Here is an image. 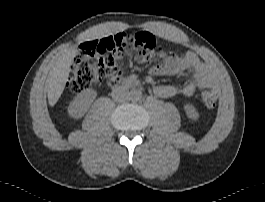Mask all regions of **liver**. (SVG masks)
Returning <instances> with one entry per match:
<instances>
[{"label":"liver","mask_w":265,"mask_h":202,"mask_svg":"<svg viewBox=\"0 0 265 202\" xmlns=\"http://www.w3.org/2000/svg\"><path fill=\"white\" fill-rule=\"evenodd\" d=\"M77 46H73L63 53L56 61L48 78V102L54 106L61 97L71 71L73 58L76 56Z\"/></svg>","instance_id":"obj_1"}]
</instances>
